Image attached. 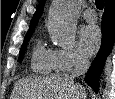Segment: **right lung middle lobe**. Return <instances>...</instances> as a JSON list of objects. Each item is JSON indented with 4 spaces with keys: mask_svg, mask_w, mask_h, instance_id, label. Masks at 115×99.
<instances>
[{
    "mask_svg": "<svg viewBox=\"0 0 115 99\" xmlns=\"http://www.w3.org/2000/svg\"><path fill=\"white\" fill-rule=\"evenodd\" d=\"M32 34H33V33H30V34H27V35L25 36V38H24V43H23V45L21 46V50H20L18 62H21V61H22V58H23V55H24V52H25V49H26V44H27L28 41L30 40Z\"/></svg>",
    "mask_w": 115,
    "mask_h": 99,
    "instance_id": "obj_1",
    "label": "right lung middle lobe"
}]
</instances>
